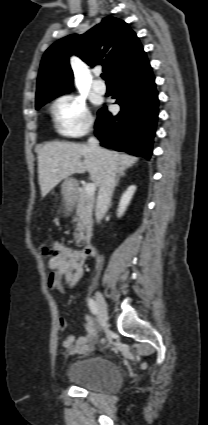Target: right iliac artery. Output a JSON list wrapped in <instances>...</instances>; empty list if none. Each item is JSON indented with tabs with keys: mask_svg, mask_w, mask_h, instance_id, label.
<instances>
[{
	"mask_svg": "<svg viewBox=\"0 0 208 425\" xmlns=\"http://www.w3.org/2000/svg\"><path fill=\"white\" fill-rule=\"evenodd\" d=\"M88 306L93 314H97V304L92 298L88 299Z\"/></svg>",
	"mask_w": 208,
	"mask_h": 425,
	"instance_id": "82829eb1",
	"label": "right iliac artery"
}]
</instances>
